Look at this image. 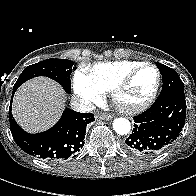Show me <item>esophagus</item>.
<instances>
[{"mask_svg":"<svg viewBox=\"0 0 196 196\" xmlns=\"http://www.w3.org/2000/svg\"><path fill=\"white\" fill-rule=\"evenodd\" d=\"M96 119H99V120H110V119H112V116L110 114L102 113V114L96 115Z\"/></svg>","mask_w":196,"mask_h":196,"instance_id":"esophagus-1","label":"esophagus"}]
</instances>
